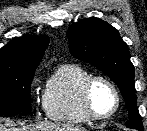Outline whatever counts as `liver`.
<instances>
[{
    "label": "liver",
    "instance_id": "liver-1",
    "mask_svg": "<svg viewBox=\"0 0 147 131\" xmlns=\"http://www.w3.org/2000/svg\"><path fill=\"white\" fill-rule=\"evenodd\" d=\"M0 131H87L84 127L69 123H36L21 128H7L0 120Z\"/></svg>",
    "mask_w": 147,
    "mask_h": 131
}]
</instances>
